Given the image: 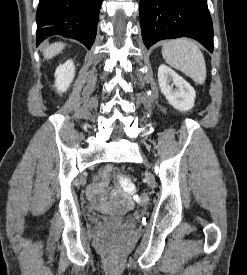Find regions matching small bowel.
Segmentation results:
<instances>
[{"instance_id":"1","label":"small bowel","mask_w":247,"mask_h":275,"mask_svg":"<svg viewBox=\"0 0 247 275\" xmlns=\"http://www.w3.org/2000/svg\"><path fill=\"white\" fill-rule=\"evenodd\" d=\"M112 179L115 181L114 186H111ZM86 193L91 202L99 208H107L114 204L128 210L136 200L135 187L130 179L118 170L112 174V166L110 165L105 167L102 179L88 185ZM106 194L110 195L112 202L104 198Z\"/></svg>"}]
</instances>
